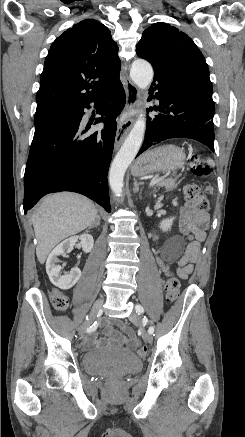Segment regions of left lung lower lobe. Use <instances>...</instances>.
Wrapping results in <instances>:
<instances>
[{
	"mask_svg": "<svg viewBox=\"0 0 245 437\" xmlns=\"http://www.w3.org/2000/svg\"><path fill=\"white\" fill-rule=\"evenodd\" d=\"M153 90L157 91L154 97L159 100L160 106L154 110L163 114L147 119L145 141L137 156L150 146L170 138L194 139L214 151L212 119L215 108L212 96L158 74H154L150 91Z\"/></svg>",
	"mask_w": 245,
	"mask_h": 437,
	"instance_id": "left-lung-lower-lobe-1",
	"label": "left lung lower lobe"
}]
</instances>
